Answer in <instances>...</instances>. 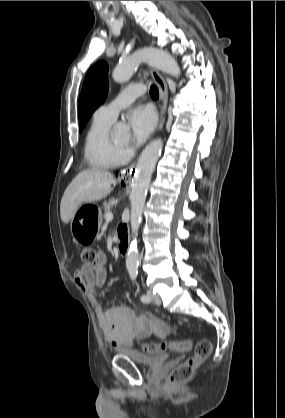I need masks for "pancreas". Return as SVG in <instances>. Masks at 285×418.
Masks as SVG:
<instances>
[{
	"label": "pancreas",
	"mask_w": 285,
	"mask_h": 418,
	"mask_svg": "<svg viewBox=\"0 0 285 418\" xmlns=\"http://www.w3.org/2000/svg\"><path fill=\"white\" fill-rule=\"evenodd\" d=\"M110 209H111V204L108 203V202H105L104 203V213L105 214L108 213L110 211Z\"/></svg>",
	"instance_id": "pancreas-1"
}]
</instances>
